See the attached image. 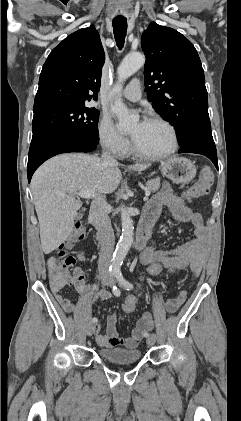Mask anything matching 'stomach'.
I'll return each instance as SVG.
<instances>
[{
    "instance_id": "0dacf381",
    "label": "stomach",
    "mask_w": 241,
    "mask_h": 421,
    "mask_svg": "<svg viewBox=\"0 0 241 421\" xmlns=\"http://www.w3.org/2000/svg\"><path fill=\"white\" fill-rule=\"evenodd\" d=\"M161 172L176 183L190 182L196 175L193 162L184 157H171L161 162Z\"/></svg>"
}]
</instances>
